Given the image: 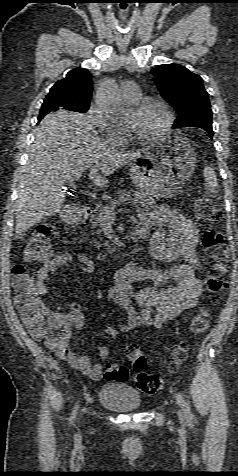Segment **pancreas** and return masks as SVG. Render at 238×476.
<instances>
[{
  "label": "pancreas",
  "mask_w": 238,
  "mask_h": 476,
  "mask_svg": "<svg viewBox=\"0 0 238 476\" xmlns=\"http://www.w3.org/2000/svg\"><path fill=\"white\" fill-rule=\"evenodd\" d=\"M118 194L119 196L117 198L110 200L108 203L94 211V214L91 217V229L95 234H101V226L104 222L103 216L106 210H114L115 208L119 207L120 204H126L127 201H130V203L142 210H148L156 206L155 199L145 196L139 192L133 193L134 198H131V192L121 190L118 192ZM95 246L99 248L100 242L96 241ZM105 247L108 252L112 250L111 246L107 243H105Z\"/></svg>",
  "instance_id": "obj_1"
}]
</instances>
